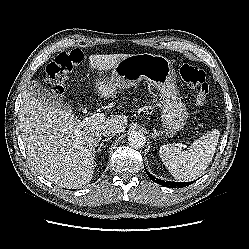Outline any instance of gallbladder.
Instances as JSON below:
<instances>
[{
	"label": "gallbladder",
	"instance_id": "obj_1",
	"mask_svg": "<svg viewBox=\"0 0 249 249\" xmlns=\"http://www.w3.org/2000/svg\"><path fill=\"white\" fill-rule=\"evenodd\" d=\"M26 91L49 106L68 112L71 111V107L67 103L56 97L48 88L37 81H31L27 85Z\"/></svg>",
	"mask_w": 249,
	"mask_h": 249
}]
</instances>
